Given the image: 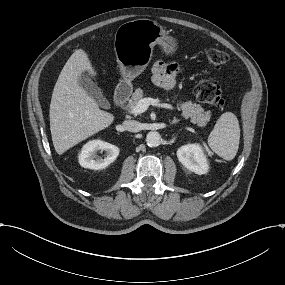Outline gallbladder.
<instances>
[{
    "instance_id": "bac80fb5",
    "label": "gallbladder",
    "mask_w": 285,
    "mask_h": 285,
    "mask_svg": "<svg viewBox=\"0 0 285 285\" xmlns=\"http://www.w3.org/2000/svg\"><path fill=\"white\" fill-rule=\"evenodd\" d=\"M81 85L100 107L104 109L110 108V103L103 96L99 87L90 78L82 77Z\"/></svg>"
}]
</instances>
